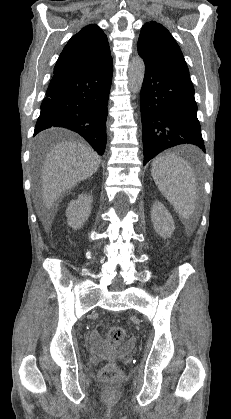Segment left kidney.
<instances>
[{
	"label": "left kidney",
	"instance_id": "5707ae66",
	"mask_svg": "<svg viewBox=\"0 0 231 419\" xmlns=\"http://www.w3.org/2000/svg\"><path fill=\"white\" fill-rule=\"evenodd\" d=\"M151 220L154 230L163 238L170 237L175 229L174 220L165 206L156 201L151 210Z\"/></svg>",
	"mask_w": 231,
	"mask_h": 419
}]
</instances>
